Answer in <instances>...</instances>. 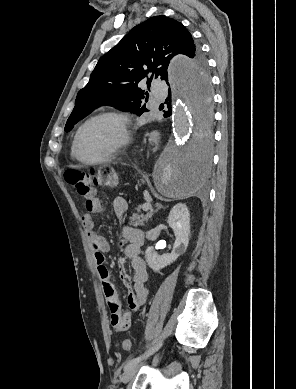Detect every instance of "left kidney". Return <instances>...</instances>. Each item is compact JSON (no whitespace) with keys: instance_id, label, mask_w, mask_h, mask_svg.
<instances>
[{"instance_id":"1","label":"left kidney","mask_w":296,"mask_h":389,"mask_svg":"<svg viewBox=\"0 0 296 389\" xmlns=\"http://www.w3.org/2000/svg\"><path fill=\"white\" fill-rule=\"evenodd\" d=\"M167 223L176 237L171 253L159 256L153 247H148L145 252L146 262L154 272H159L173 263L180 255L186 252L188 247L190 214L187 206L182 203L175 205L169 213Z\"/></svg>"}]
</instances>
